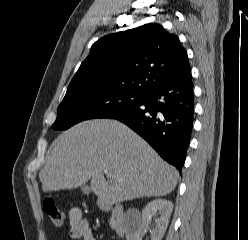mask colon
Wrapping results in <instances>:
<instances>
[{"label": "colon", "mask_w": 248, "mask_h": 240, "mask_svg": "<svg viewBox=\"0 0 248 240\" xmlns=\"http://www.w3.org/2000/svg\"><path fill=\"white\" fill-rule=\"evenodd\" d=\"M43 209L50 217L52 223L56 227H63L66 223L64 212L55 204L53 200H46Z\"/></svg>", "instance_id": "colon-1"}]
</instances>
